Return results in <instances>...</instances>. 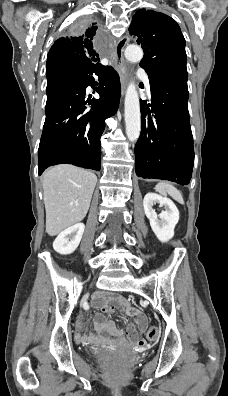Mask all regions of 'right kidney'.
<instances>
[{
    "label": "right kidney",
    "mask_w": 228,
    "mask_h": 396,
    "mask_svg": "<svg viewBox=\"0 0 228 396\" xmlns=\"http://www.w3.org/2000/svg\"><path fill=\"white\" fill-rule=\"evenodd\" d=\"M84 229L83 223H77L62 231L53 242L54 250L62 255L73 253L80 244Z\"/></svg>",
    "instance_id": "1"
}]
</instances>
